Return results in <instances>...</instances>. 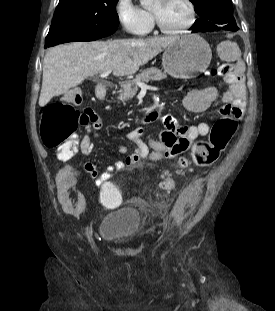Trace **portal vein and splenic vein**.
Segmentation results:
<instances>
[{
	"mask_svg": "<svg viewBox=\"0 0 275 311\" xmlns=\"http://www.w3.org/2000/svg\"><path fill=\"white\" fill-rule=\"evenodd\" d=\"M111 73V70L103 72L100 74L101 78H106L109 74ZM136 84L141 88V89H148V86L140 81H137Z\"/></svg>",
	"mask_w": 275,
	"mask_h": 311,
	"instance_id": "1",
	"label": "portal vein and splenic vein"
}]
</instances>
